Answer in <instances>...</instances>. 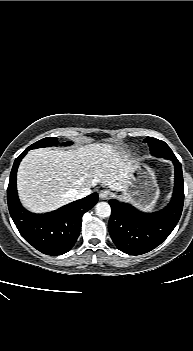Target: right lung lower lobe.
Segmentation results:
<instances>
[{"label":"right lung lower lobe","instance_id":"right-lung-lower-lobe-1","mask_svg":"<svg viewBox=\"0 0 193 351\" xmlns=\"http://www.w3.org/2000/svg\"><path fill=\"white\" fill-rule=\"evenodd\" d=\"M26 149L13 165L7 200L10 215L23 238L34 248L47 255H61L75 244L80 230L82 215L98 201V194L91 195L67 204L53 212L34 214L22 207L16 189V173Z\"/></svg>","mask_w":193,"mask_h":351}]
</instances>
